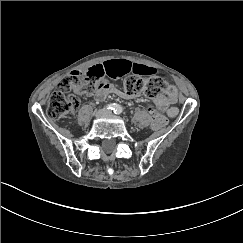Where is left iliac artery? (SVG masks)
Instances as JSON below:
<instances>
[{
	"label": "left iliac artery",
	"instance_id": "44dca946",
	"mask_svg": "<svg viewBox=\"0 0 243 243\" xmlns=\"http://www.w3.org/2000/svg\"><path fill=\"white\" fill-rule=\"evenodd\" d=\"M123 111L122 107L118 106V108L114 111L115 114H121Z\"/></svg>",
	"mask_w": 243,
	"mask_h": 243
}]
</instances>
